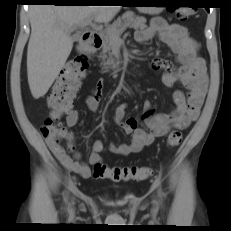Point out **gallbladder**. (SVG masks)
Returning a JSON list of instances; mask_svg holds the SVG:
<instances>
[{
	"mask_svg": "<svg viewBox=\"0 0 231 231\" xmlns=\"http://www.w3.org/2000/svg\"><path fill=\"white\" fill-rule=\"evenodd\" d=\"M77 36H74L73 39H76Z\"/></svg>",
	"mask_w": 231,
	"mask_h": 231,
	"instance_id": "obj_1",
	"label": "gallbladder"
}]
</instances>
